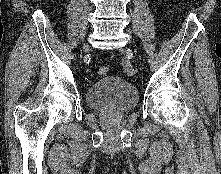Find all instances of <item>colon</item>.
Returning <instances> with one entry per match:
<instances>
[{
  "label": "colon",
  "mask_w": 221,
  "mask_h": 174,
  "mask_svg": "<svg viewBox=\"0 0 221 174\" xmlns=\"http://www.w3.org/2000/svg\"><path fill=\"white\" fill-rule=\"evenodd\" d=\"M98 73L101 75V76H106L109 74V68L106 67V66H101L99 69H98Z\"/></svg>",
  "instance_id": "5ec220e1"
}]
</instances>
